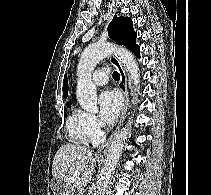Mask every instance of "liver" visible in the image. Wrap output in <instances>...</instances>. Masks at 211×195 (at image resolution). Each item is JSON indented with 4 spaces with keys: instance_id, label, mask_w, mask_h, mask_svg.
Returning <instances> with one entry per match:
<instances>
[{
    "instance_id": "1",
    "label": "liver",
    "mask_w": 211,
    "mask_h": 195,
    "mask_svg": "<svg viewBox=\"0 0 211 195\" xmlns=\"http://www.w3.org/2000/svg\"><path fill=\"white\" fill-rule=\"evenodd\" d=\"M94 167L92 150L75 144L62 145L57 150L52 164L53 177L60 180L65 188L60 195H73L74 187H85L92 178ZM75 172H79L80 175L74 182H70ZM72 184L73 187L70 188Z\"/></svg>"
}]
</instances>
